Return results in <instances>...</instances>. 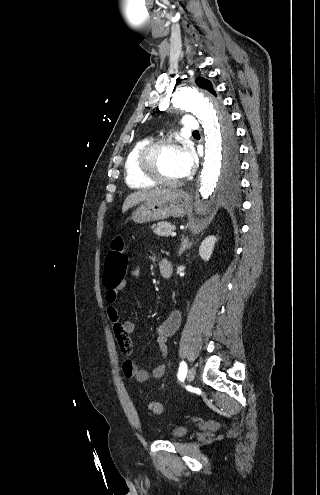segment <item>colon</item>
<instances>
[{
	"label": "colon",
	"mask_w": 320,
	"mask_h": 495,
	"mask_svg": "<svg viewBox=\"0 0 320 495\" xmlns=\"http://www.w3.org/2000/svg\"><path fill=\"white\" fill-rule=\"evenodd\" d=\"M128 261L129 257L123 240L120 237L115 238L108 250L104 264V281L107 287H114L123 280ZM148 406L154 414H161L163 411V406L158 401H151Z\"/></svg>",
	"instance_id": "5ec220e1"
}]
</instances>
